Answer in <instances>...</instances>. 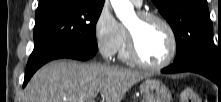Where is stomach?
<instances>
[{"label":"stomach","instance_id":"obj_1","mask_svg":"<svg viewBox=\"0 0 221 102\" xmlns=\"http://www.w3.org/2000/svg\"><path fill=\"white\" fill-rule=\"evenodd\" d=\"M140 91L145 102H171L169 89L159 80L146 79L140 85Z\"/></svg>","mask_w":221,"mask_h":102}]
</instances>
